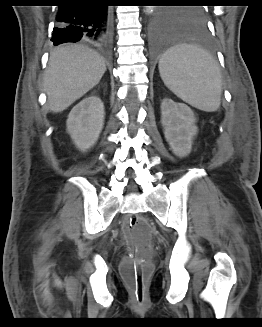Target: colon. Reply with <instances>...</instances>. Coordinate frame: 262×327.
Here are the masks:
<instances>
[{"label":"colon","instance_id":"1","mask_svg":"<svg viewBox=\"0 0 262 327\" xmlns=\"http://www.w3.org/2000/svg\"><path fill=\"white\" fill-rule=\"evenodd\" d=\"M125 233L136 247L135 254L124 262L123 272L137 302H143L146 295V280L149 265L140 254L141 247H146L150 238L148 223L139 217H132L124 226Z\"/></svg>","mask_w":262,"mask_h":327}]
</instances>
